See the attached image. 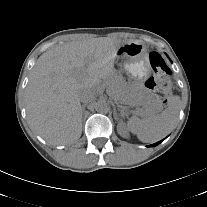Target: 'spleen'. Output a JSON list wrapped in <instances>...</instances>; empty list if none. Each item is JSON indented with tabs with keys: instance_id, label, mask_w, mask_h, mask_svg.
Masks as SVG:
<instances>
[{
	"instance_id": "3e777b00",
	"label": "spleen",
	"mask_w": 207,
	"mask_h": 207,
	"mask_svg": "<svg viewBox=\"0 0 207 207\" xmlns=\"http://www.w3.org/2000/svg\"><path fill=\"white\" fill-rule=\"evenodd\" d=\"M180 110V97L169 99L167 108L160 114L145 119L132 117L127 123L128 130L144 143H153L165 137L175 126Z\"/></svg>"
}]
</instances>
